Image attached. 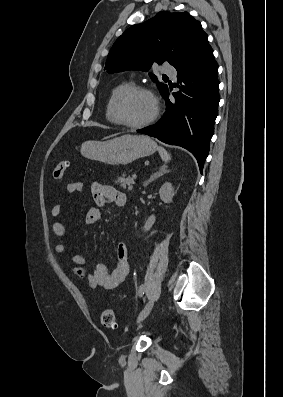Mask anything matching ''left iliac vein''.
<instances>
[{
    "label": "left iliac vein",
    "mask_w": 283,
    "mask_h": 397,
    "mask_svg": "<svg viewBox=\"0 0 283 397\" xmlns=\"http://www.w3.org/2000/svg\"><path fill=\"white\" fill-rule=\"evenodd\" d=\"M154 305V300H150L138 316L137 323L142 322L150 313Z\"/></svg>",
    "instance_id": "obj_1"
}]
</instances>
